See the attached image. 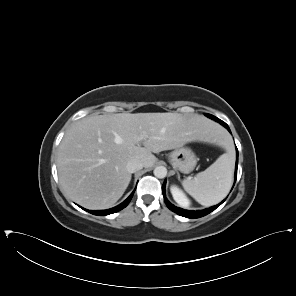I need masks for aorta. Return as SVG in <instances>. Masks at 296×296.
Returning a JSON list of instances; mask_svg holds the SVG:
<instances>
[{
    "instance_id": "aorta-1",
    "label": "aorta",
    "mask_w": 296,
    "mask_h": 296,
    "mask_svg": "<svg viewBox=\"0 0 296 296\" xmlns=\"http://www.w3.org/2000/svg\"><path fill=\"white\" fill-rule=\"evenodd\" d=\"M153 173H154L155 177L162 179V178L166 177L167 169L164 166H158L154 169Z\"/></svg>"
}]
</instances>
